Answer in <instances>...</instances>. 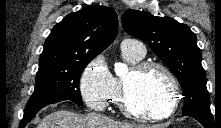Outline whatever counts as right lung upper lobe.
Masks as SVG:
<instances>
[{
	"label": "right lung upper lobe",
	"mask_w": 221,
	"mask_h": 128,
	"mask_svg": "<svg viewBox=\"0 0 221 128\" xmlns=\"http://www.w3.org/2000/svg\"><path fill=\"white\" fill-rule=\"evenodd\" d=\"M117 14L111 7L92 5L68 14L47 37L39 70L95 58L115 39Z\"/></svg>",
	"instance_id": "right-lung-upper-lobe-1"
}]
</instances>
